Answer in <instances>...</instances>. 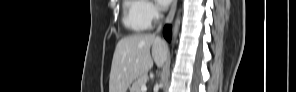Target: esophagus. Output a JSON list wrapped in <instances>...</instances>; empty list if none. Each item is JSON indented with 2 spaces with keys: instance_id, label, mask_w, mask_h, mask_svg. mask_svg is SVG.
Instances as JSON below:
<instances>
[{
  "instance_id": "obj_1",
  "label": "esophagus",
  "mask_w": 296,
  "mask_h": 92,
  "mask_svg": "<svg viewBox=\"0 0 296 92\" xmlns=\"http://www.w3.org/2000/svg\"><path fill=\"white\" fill-rule=\"evenodd\" d=\"M176 7H177V0H173L170 11L166 17L165 24H169L173 20L176 12Z\"/></svg>"
}]
</instances>
